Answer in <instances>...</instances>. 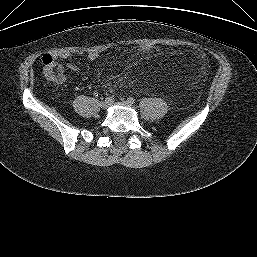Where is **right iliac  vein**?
Returning <instances> with one entry per match:
<instances>
[{
  "mask_svg": "<svg viewBox=\"0 0 257 257\" xmlns=\"http://www.w3.org/2000/svg\"><path fill=\"white\" fill-rule=\"evenodd\" d=\"M100 106L102 109H107L110 106V103L106 102V101H102L100 103Z\"/></svg>",
  "mask_w": 257,
  "mask_h": 257,
  "instance_id": "63e3f726",
  "label": "right iliac vein"
}]
</instances>
